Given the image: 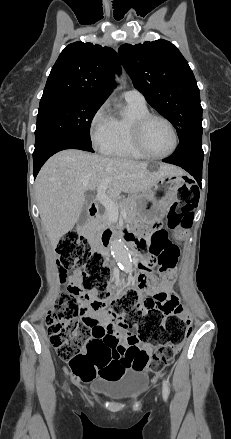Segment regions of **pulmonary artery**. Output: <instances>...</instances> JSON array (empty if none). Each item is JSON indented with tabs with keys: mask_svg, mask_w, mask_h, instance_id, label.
<instances>
[{
	"mask_svg": "<svg viewBox=\"0 0 231 439\" xmlns=\"http://www.w3.org/2000/svg\"><path fill=\"white\" fill-rule=\"evenodd\" d=\"M124 98L129 101L146 103L144 95L136 89H127L124 91Z\"/></svg>",
	"mask_w": 231,
	"mask_h": 439,
	"instance_id": "e3ab8cb5",
	"label": "pulmonary artery"
}]
</instances>
